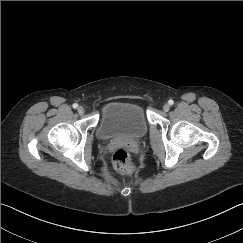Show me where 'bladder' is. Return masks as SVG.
<instances>
[{
    "label": "bladder",
    "instance_id": "obj_1",
    "mask_svg": "<svg viewBox=\"0 0 243 243\" xmlns=\"http://www.w3.org/2000/svg\"><path fill=\"white\" fill-rule=\"evenodd\" d=\"M147 132L148 123L142 107L125 101L108 103L96 129L100 139L109 141H136Z\"/></svg>",
    "mask_w": 243,
    "mask_h": 243
}]
</instances>
